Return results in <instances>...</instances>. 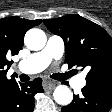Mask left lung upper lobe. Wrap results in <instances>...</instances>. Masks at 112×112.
Instances as JSON below:
<instances>
[{
    "instance_id": "1",
    "label": "left lung upper lobe",
    "mask_w": 112,
    "mask_h": 112,
    "mask_svg": "<svg viewBox=\"0 0 112 112\" xmlns=\"http://www.w3.org/2000/svg\"><path fill=\"white\" fill-rule=\"evenodd\" d=\"M44 23L63 38L69 67L90 69L86 85L112 88V38L101 26L78 15L45 19Z\"/></svg>"
}]
</instances>
